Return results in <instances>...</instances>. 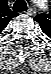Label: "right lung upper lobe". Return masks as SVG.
Instances as JSON below:
<instances>
[{"label":"right lung upper lobe","instance_id":"cb5924a9","mask_svg":"<svg viewBox=\"0 0 51 74\" xmlns=\"http://www.w3.org/2000/svg\"><path fill=\"white\" fill-rule=\"evenodd\" d=\"M14 16H15V14L10 13V14H9V17H8V18H6L5 25H6V24H7V22H9V20H10L12 17H14Z\"/></svg>","mask_w":51,"mask_h":74}]
</instances>
